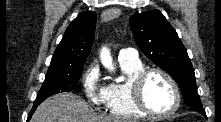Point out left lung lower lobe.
<instances>
[{
    "mask_svg": "<svg viewBox=\"0 0 221 122\" xmlns=\"http://www.w3.org/2000/svg\"><path fill=\"white\" fill-rule=\"evenodd\" d=\"M200 114H202L203 116H205L206 117V114H205V111L204 110H202V111H198Z\"/></svg>",
    "mask_w": 221,
    "mask_h": 122,
    "instance_id": "0a47b994",
    "label": "left lung lower lobe"
}]
</instances>
